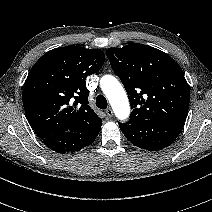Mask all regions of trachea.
Segmentation results:
<instances>
[{
    "instance_id": "3493384b",
    "label": "trachea",
    "mask_w": 212,
    "mask_h": 212,
    "mask_svg": "<svg viewBox=\"0 0 212 212\" xmlns=\"http://www.w3.org/2000/svg\"><path fill=\"white\" fill-rule=\"evenodd\" d=\"M107 100L103 95H98L96 98V106L100 109H106L107 108Z\"/></svg>"
}]
</instances>
